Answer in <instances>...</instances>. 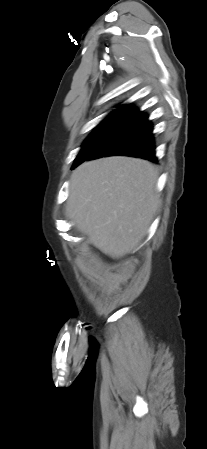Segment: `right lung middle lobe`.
<instances>
[{
	"label": "right lung middle lobe",
	"mask_w": 207,
	"mask_h": 449,
	"mask_svg": "<svg viewBox=\"0 0 207 449\" xmlns=\"http://www.w3.org/2000/svg\"><path fill=\"white\" fill-rule=\"evenodd\" d=\"M137 114L114 112L104 119L85 140L82 149L75 159L72 169L85 161L106 141L128 125Z\"/></svg>",
	"instance_id": "dd1d6c3e"
}]
</instances>
